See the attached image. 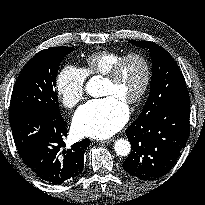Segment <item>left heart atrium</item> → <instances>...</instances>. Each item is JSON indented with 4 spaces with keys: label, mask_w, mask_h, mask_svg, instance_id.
<instances>
[{
    "label": "left heart atrium",
    "mask_w": 205,
    "mask_h": 205,
    "mask_svg": "<svg viewBox=\"0 0 205 205\" xmlns=\"http://www.w3.org/2000/svg\"><path fill=\"white\" fill-rule=\"evenodd\" d=\"M128 116L125 102L115 96H107L80 107L74 116L73 127L79 135L103 139L120 130Z\"/></svg>",
    "instance_id": "39dd6f15"
}]
</instances>
